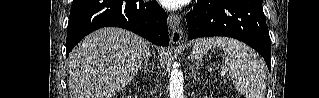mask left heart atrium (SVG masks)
I'll list each match as a JSON object with an SVG mask.
<instances>
[{
	"instance_id": "1",
	"label": "left heart atrium",
	"mask_w": 319,
	"mask_h": 98,
	"mask_svg": "<svg viewBox=\"0 0 319 98\" xmlns=\"http://www.w3.org/2000/svg\"><path fill=\"white\" fill-rule=\"evenodd\" d=\"M188 0H162L163 6L169 9H176L181 7L183 4L187 3Z\"/></svg>"
}]
</instances>
